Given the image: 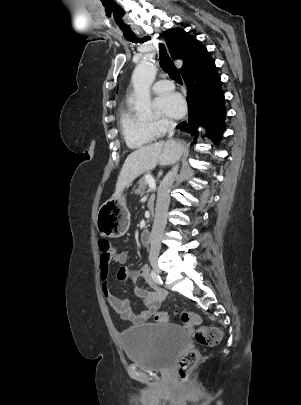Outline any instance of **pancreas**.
<instances>
[{"instance_id":"cf45deb5","label":"pancreas","mask_w":301,"mask_h":405,"mask_svg":"<svg viewBox=\"0 0 301 405\" xmlns=\"http://www.w3.org/2000/svg\"><path fill=\"white\" fill-rule=\"evenodd\" d=\"M146 188H147V180H146V178H142L138 182V188L135 190V194L143 195L145 193ZM154 198H155L154 195H152L151 198H150L149 208H150L151 211H153Z\"/></svg>"}]
</instances>
